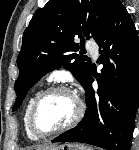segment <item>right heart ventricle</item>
I'll return each instance as SVG.
<instances>
[{"label": "right heart ventricle", "mask_w": 139, "mask_h": 150, "mask_svg": "<svg viewBox=\"0 0 139 150\" xmlns=\"http://www.w3.org/2000/svg\"><path fill=\"white\" fill-rule=\"evenodd\" d=\"M39 94V91L35 92L28 100L25 110H24V115H23V122H24V128L26 131L27 136L31 139V140H38L39 138L37 136H35L29 129V125H28V115H29V111L31 108V105L34 101V99L36 98V96Z\"/></svg>", "instance_id": "obj_1"}]
</instances>
